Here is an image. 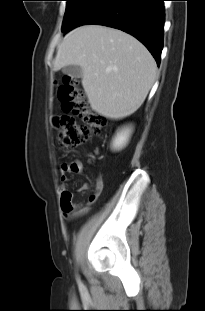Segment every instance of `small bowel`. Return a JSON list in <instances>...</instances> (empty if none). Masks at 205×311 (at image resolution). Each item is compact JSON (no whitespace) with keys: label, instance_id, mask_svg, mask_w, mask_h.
Here are the masks:
<instances>
[{"label":"small bowel","instance_id":"obj_1","mask_svg":"<svg viewBox=\"0 0 205 311\" xmlns=\"http://www.w3.org/2000/svg\"><path fill=\"white\" fill-rule=\"evenodd\" d=\"M83 163L76 159L70 163L61 164L60 181L61 186L59 188L61 209L63 213L69 218H78L87 214L90 210V205L95 202L100 196L104 182L101 177H97L95 181V188L93 192L87 197L85 202H74V195L67 189V184L70 181V176L80 174L83 172ZM89 188L87 183H84L81 187V191H86Z\"/></svg>","mask_w":205,"mask_h":311}]
</instances>
